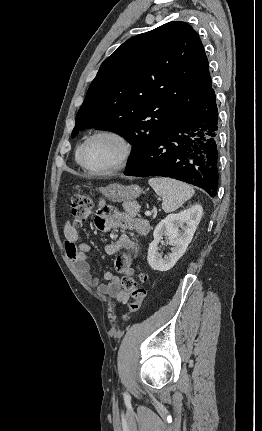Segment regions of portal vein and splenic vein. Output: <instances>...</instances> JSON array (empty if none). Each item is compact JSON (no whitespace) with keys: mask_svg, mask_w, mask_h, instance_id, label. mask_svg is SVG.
I'll return each instance as SVG.
<instances>
[{"mask_svg":"<svg viewBox=\"0 0 262 431\" xmlns=\"http://www.w3.org/2000/svg\"><path fill=\"white\" fill-rule=\"evenodd\" d=\"M151 213H152V212L148 210V211H146V212H145V215H146V216H150V215H151Z\"/></svg>","mask_w":262,"mask_h":431,"instance_id":"portal-vein-and-splenic-vein-1","label":"portal vein and splenic vein"}]
</instances>
